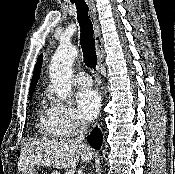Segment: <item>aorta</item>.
<instances>
[{
    "instance_id": "obj_1",
    "label": "aorta",
    "mask_w": 175,
    "mask_h": 174,
    "mask_svg": "<svg viewBox=\"0 0 175 174\" xmlns=\"http://www.w3.org/2000/svg\"><path fill=\"white\" fill-rule=\"evenodd\" d=\"M78 49L68 43H60L49 67L51 84L57 96L67 101L71 95L72 65Z\"/></svg>"
}]
</instances>
